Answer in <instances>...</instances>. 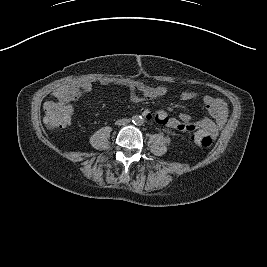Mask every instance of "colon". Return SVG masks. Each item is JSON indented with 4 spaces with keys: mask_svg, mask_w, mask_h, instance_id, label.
<instances>
[{
    "mask_svg": "<svg viewBox=\"0 0 267 267\" xmlns=\"http://www.w3.org/2000/svg\"><path fill=\"white\" fill-rule=\"evenodd\" d=\"M62 101V100H61ZM65 103L64 101H62ZM44 112V123L46 127L50 130L63 129L70 125L71 118L67 110L55 101H48L43 105ZM213 136L196 131L192 136L193 143L200 148H207L211 145L213 141Z\"/></svg>",
    "mask_w": 267,
    "mask_h": 267,
    "instance_id": "obj_1",
    "label": "colon"
}]
</instances>
